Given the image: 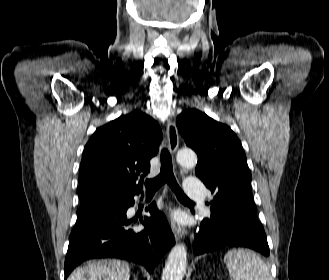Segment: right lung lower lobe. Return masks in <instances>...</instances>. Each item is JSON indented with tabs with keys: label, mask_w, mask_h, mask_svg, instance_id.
<instances>
[{
	"label": "right lung lower lobe",
	"mask_w": 329,
	"mask_h": 280,
	"mask_svg": "<svg viewBox=\"0 0 329 280\" xmlns=\"http://www.w3.org/2000/svg\"><path fill=\"white\" fill-rule=\"evenodd\" d=\"M140 191L101 197L79 212L69 238L65 258V279L85 260L121 258L146 266L151 273L166 250L174 245V237L165 216L152 203L144 217L146 228L134 230L136 219H127L126 211Z\"/></svg>",
	"instance_id": "right-lung-lower-lobe-1"
}]
</instances>
